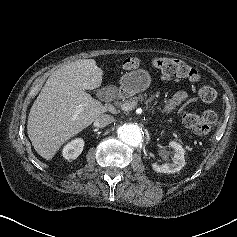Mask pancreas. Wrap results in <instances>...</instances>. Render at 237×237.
I'll use <instances>...</instances> for the list:
<instances>
[{"instance_id":"1","label":"pancreas","mask_w":237,"mask_h":237,"mask_svg":"<svg viewBox=\"0 0 237 237\" xmlns=\"http://www.w3.org/2000/svg\"><path fill=\"white\" fill-rule=\"evenodd\" d=\"M140 100H142L140 96H138V97L135 96V97H132V98H130V99L123 100L122 102L117 103V104H118V106H120L121 108H122L123 106H126V105H129V106L134 107L135 105L138 104V102H139ZM168 122L171 123L172 120L170 119V120H168Z\"/></svg>"}]
</instances>
